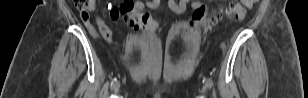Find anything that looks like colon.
Instances as JSON below:
<instances>
[{
	"label": "colon",
	"mask_w": 308,
	"mask_h": 98,
	"mask_svg": "<svg viewBox=\"0 0 308 98\" xmlns=\"http://www.w3.org/2000/svg\"><path fill=\"white\" fill-rule=\"evenodd\" d=\"M257 2L258 0H240L230 2L223 12H213L207 7L202 6L193 11L189 21V27L198 28L201 32H206L216 24L223 15L229 18L242 19L246 15V8L252 7ZM74 3L79 10L82 19L85 22H88L90 14L94 9L95 1L74 0ZM153 14L154 11L152 9H148L147 11L131 9V0H125L119 7L111 10V17H122L129 27L140 32L155 31L157 29L155 24H151V16ZM104 38L110 39L111 34H108Z\"/></svg>",
	"instance_id": "1"
}]
</instances>
